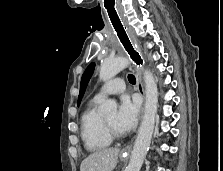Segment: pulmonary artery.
Returning <instances> with one entry per match:
<instances>
[{
  "mask_svg": "<svg viewBox=\"0 0 223 171\" xmlns=\"http://www.w3.org/2000/svg\"><path fill=\"white\" fill-rule=\"evenodd\" d=\"M125 90V82L122 78H115L105 83L96 93V99H102L106 95L120 94Z\"/></svg>",
  "mask_w": 223,
  "mask_h": 171,
  "instance_id": "obj_1",
  "label": "pulmonary artery"
}]
</instances>
